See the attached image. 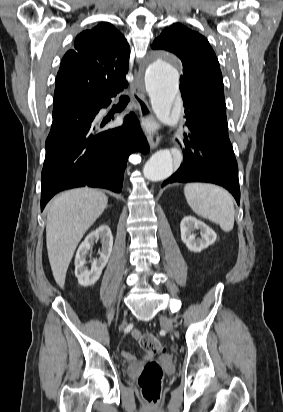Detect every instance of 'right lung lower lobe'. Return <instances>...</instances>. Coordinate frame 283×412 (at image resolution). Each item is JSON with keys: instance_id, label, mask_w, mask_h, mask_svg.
<instances>
[{"instance_id": "right-lung-lower-lobe-1", "label": "right lung lower lobe", "mask_w": 283, "mask_h": 412, "mask_svg": "<svg viewBox=\"0 0 283 412\" xmlns=\"http://www.w3.org/2000/svg\"><path fill=\"white\" fill-rule=\"evenodd\" d=\"M114 96H102L62 120L53 119L41 174V210L68 188L88 185L120 192L129 155L149 151L133 113L125 116L121 127L100 129L96 115Z\"/></svg>"}]
</instances>
